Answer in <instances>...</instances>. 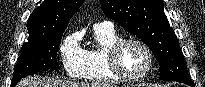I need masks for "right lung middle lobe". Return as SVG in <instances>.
Segmentation results:
<instances>
[{
	"label": "right lung middle lobe",
	"mask_w": 205,
	"mask_h": 87,
	"mask_svg": "<svg viewBox=\"0 0 205 87\" xmlns=\"http://www.w3.org/2000/svg\"><path fill=\"white\" fill-rule=\"evenodd\" d=\"M62 34L63 32L28 38V42H25L21 48L11 87L28 75L48 69H59L56 56Z\"/></svg>",
	"instance_id": "right-lung-middle-lobe-1"
}]
</instances>
